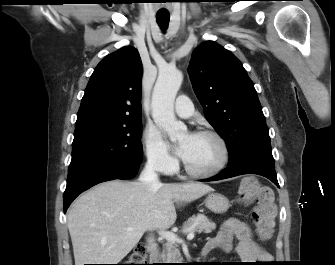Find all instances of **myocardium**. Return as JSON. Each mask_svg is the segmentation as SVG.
I'll list each match as a JSON object with an SVG mask.
<instances>
[{
    "label": "myocardium",
    "mask_w": 335,
    "mask_h": 265,
    "mask_svg": "<svg viewBox=\"0 0 335 265\" xmlns=\"http://www.w3.org/2000/svg\"><path fill=\"white\" fill-rule=\"evenodd\" d=\"M194 135L209 136V137L214 138L218 142L221 148V157H220L219 162L216 164V166H214L212 169L207 170V171L194 170L191 167H189L187 163L183 160L184 171L189 176L194 177V178H200V179L211 178V177L216 176L225 168V166L227 165L229 161L230 150H229L228 143L226 142V140L224 139L222 135H220L218 132L213 131V130H208V129L199 130L195 132Z\"/></svg>",
    "instance_id": "1"
}]
</instances>
